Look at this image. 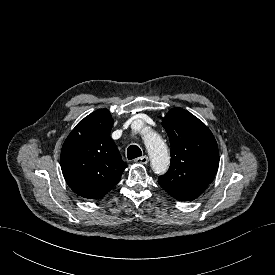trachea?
<instances>
[{"label":"trachea","instance_id":"obj_1","mask_svg":"<svg viewBox=\"0 0 275 275\" xmlns=\"http://www.w3.org/2000/svg\"><path fill=\"white\" fill-rule=\"evenodd\" d=\"M142 155L141 149L136 145H131L127 149V158L134 159Z\"/></svg>","mask_w":275,"mask_h":275}]
</instances>
